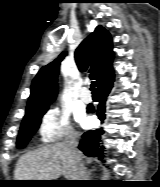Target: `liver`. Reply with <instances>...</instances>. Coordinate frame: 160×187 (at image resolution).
I'll return each instance as SVG.
<instances>
[{"label":"liver","instance_id":"1","mask_svg":"<svg viewBox=\"0 0 160 187\" xmlns=\"http://www.w3.org/2000/svg\"><path fill=\"white\" fill-rule=\"evenodd\" d=\"M62 174L67 180L79 178L78 164L65 143L48 144L25 153L14 175L15 180H56Z\"/></svg>","mask_w":160,"mask_h":187}]
</instances>
